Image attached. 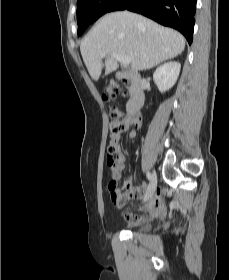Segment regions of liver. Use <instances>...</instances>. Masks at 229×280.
<instances>
[{"label":"liver","instance_id":"obj_1","mask_svg":"<svg viewBox=\"0 0 229 280\" xmlns=\"http://www.w3.org/2000/svg\"><path fill=\"white\" fill-rule=\"evenodd\" d=\"M184 48L185 38L179 32L128 11L101 17L80 45L83 61L94 81L99 80L104 67L105 75L118 69L112 53L130 57L131 68L143 71L178 56ZM102 53H106L105 63Z\"/></svg>","mask_w":229,"mask_h":280}]
</instances>
